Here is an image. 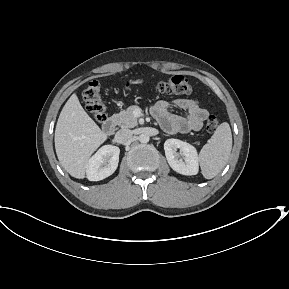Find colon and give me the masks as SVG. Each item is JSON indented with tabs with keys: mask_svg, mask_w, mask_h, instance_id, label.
I'll use <instances>...</instances> for the list:
<instances>
[{
	"mask_svg": "<svg viewBox=\"0 0 289 289\" xmlns=\"http://www.w3.org/2000/svg\"><path fill=\"white\" fill-rule=\"evenodd\" d=\"M129 88V84H126ZM192 84L182 75L171 76L154 84V90L161 94L188 95L192 92ZM83 99L90 113L98 122L106 118V106L101 96V85L97 81H91L83 91ZM220 125V120L211 115L207 118L205 128L208 132H214Z\"/></svg>",
	"mask_w": 289,
	"mask_h": 289,
	"instance_id": "5ec220e1",
	"label": "colon"
}]
</instances>
